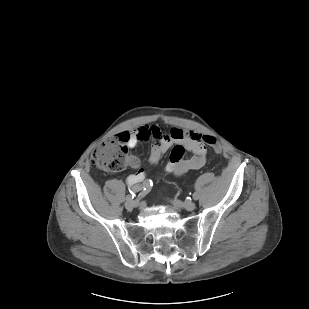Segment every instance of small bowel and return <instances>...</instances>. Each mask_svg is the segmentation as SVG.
I'll return each instance as SVG.
<instances>
[{"mask_svg": "<svg viewBox=\"0 0 309 309\" xmlns=\"http://www.w3.org/2000/svg\"><path fill=\"white\" fill-rule=\"evenodd\" d=\"M130 148H134L140 141L152 139L154 146L151 149L149 161L156 164L171 147L169 161L165 171L173 176H182L190 170L200 169L206 162V146L202 141V135L195 131H185L179 127H171L168 132L162 131L158 125H142L132 132H121ZM189 152L191 156L184 157ZM128 165L136 169L129 175L127 184L132 186L144 179V171L140 168L139 159L130 154L127 158Z\"/></svg>", "mask_w": 309, "mask_h": 309, "instance_id": "1", "label": "small bowel"}]
</instances>
